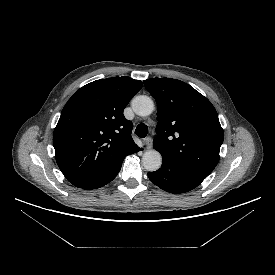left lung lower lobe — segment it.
Returning <instances> with one entry per match:
<instances>
[{
	"label": "left lung lower lobe",
	"mask_w": 275,
	"mask_h": 275,
	"mask_svg": "<svg viewBox=\"0 0 275 275\" xmlns=\"http://www.w3.org/2000/svg\"><path fill=\"white\" fill-rule=\"evenodd\" d=\"M152 183L170 193H185L197 187L206 177L163 158L160 169L148 172Z\"/></svg>",
	"instance_id": "0a47b994"
}]
</instances>
